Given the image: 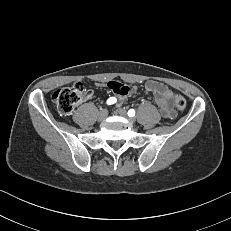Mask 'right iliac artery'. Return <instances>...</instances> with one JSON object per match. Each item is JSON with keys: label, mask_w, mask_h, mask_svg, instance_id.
<instances>
[{"label": "right iliac artery", "mask_w": 231, "mask_h": 231, "mask_svg": "<svg viewBox=\"0 0 231 231\" xmlns=\"http://www.w3.org/2000/svg\"><path fill=\"white\" fill-rule=\"evenodd\" d=\"M117 99L115 97H111L107 100V104L108 105H112L114 103H116Z\"/></svg>", "instance_id": "obj_1"}]
</instances>
